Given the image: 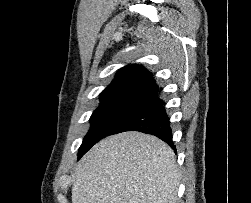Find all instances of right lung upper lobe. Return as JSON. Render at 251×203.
<instances>
[{
  "mask_svg": "<svg viewBox=\"0 0 251 203\" xmlns=\"http://www.w3.org/2000/svg\"><path fill=\"white\" fill-rule=\"evenodd\" d=\"M158 86L144 67L128 65L118 71L111 84L100 93L99 107L123 106L146 111L162 103Z\"/></svg>",
  "mask_w": 251,
  "mask_h": 203,
  "instance_id": "cb5924a9",
  "label": "right lung upper lobe"
}]
</instances>
